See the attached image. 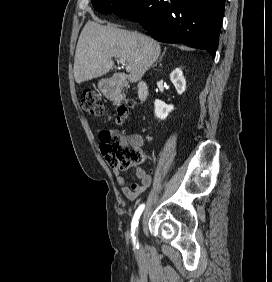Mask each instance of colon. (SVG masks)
<instances>
[{
	"mask_svg": "<svg viewBox=\"0 0 272 282\" xmlns=\"http://www.w3.org/2000/svg\"><path fill=\"white\" fill-rule=\"evenodd\" d=\"M81 103L84 110L94 116L103 117L106 115L102 97L94 91H84ZM130 107L131 103L122 106L117 114L109 116V119L115 123H123L128 117ZM99 141L102 156L112 169L124 172L144 161L143 150L116 131L109 129L100 131Z\"/></svg>",
	"mask_w": 272,
	"mask_h": 282,
	"instance_id": "obj_1",
	"label": "colon"
}]
</instances>
